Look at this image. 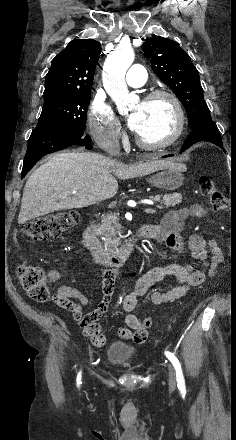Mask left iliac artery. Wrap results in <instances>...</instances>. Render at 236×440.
<instances>
[{
    "instance_id": "44dca946",
    "label": "left iliac artery",
    "mask_w": 236,
    "mask_h": 440,
    "mask_svg": "<svg viewBox=\"0 0 236 440\" xmlns=\"http://www.w3.org/2000/svg\"><path fill=\"white\" fill-rule=\"evenodd\" d=\"M165 355L170 360V362L173 364V366L175 368L178 389L181 391H184L186 388L185 387V380H184V376H183V372H182V368H181V364H180L179 360L177 359V357L173 353H171L169 351H165Z\"/></svg>"
}]
</instances>
